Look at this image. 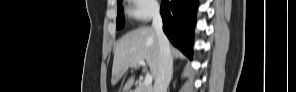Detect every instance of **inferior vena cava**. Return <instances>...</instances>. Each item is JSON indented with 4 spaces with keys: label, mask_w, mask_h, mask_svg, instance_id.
<instances>
[{
    "label": "inferior vena cava",
    "mask_w": 296,
    "mask_h": 92,
    "mask_svg": "<svg viewBox=\"0 0 296 92\" xmlns=\"http://www.w3.org/2000/svg\"><path fill=\"white\" fill-rule=\"evenodd\" d=\"M152 26L159 42V71L155 79L153 92H166L171 80L173 59L169 40L163 32V22L159 8H156L153 12Z\"/></svg>",
    "instance_id": "obj_1"
}]
</instances>
